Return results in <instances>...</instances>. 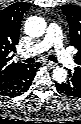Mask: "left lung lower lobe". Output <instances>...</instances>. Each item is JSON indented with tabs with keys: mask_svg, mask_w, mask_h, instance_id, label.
I'll use <instances>...</instances> for the list:
<instances>
[{
	"mask_svg": "<svg viewBox=\"0 0 81 124\" xmlns=\"http://www.w3.org/2000/svg\"><path fill=\"white\" fill-rule=\"evenodd\" d=\"M57 89L70 97H81V76L69 70V79L65 83H57Z\"/></svg>",
	"mask_w": 81,
	"mask_h": 124,
	"instance_id": "1",
	"label": "left lung lower lobe"
}]
</instances>
